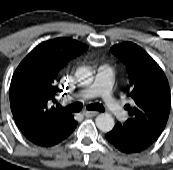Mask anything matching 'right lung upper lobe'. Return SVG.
<instances>
[{
  "mask_svg": "<svg viewBox=\"0 0 173 170\" xmlns=\"http://www.w3.org/2000/svg\"><path fill=\"white\" fill-rule=\"evenodd\" d=\"M88 47L76 40L57 38L36 46L19 64L10 84L15 122L28 139L46 135L66 124L72 115L54 107L59 75L67 63Z\"/></svg>",
  "mask_w": 173,
  "mask_h": 170,
  "instance_id": "right-lung-upper-lobe-1",
  "label": "right lung upper lobe"
}]
</instances>
